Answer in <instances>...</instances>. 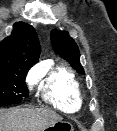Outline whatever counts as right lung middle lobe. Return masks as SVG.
<instances>
[{
    "label": "right lung middle lobe",
    "instance_id": "dd1d6c3e",
    "mask_svg": "<svg viewBox=\"0 0 117 131\" xmlns=\"http://www.w3.org/2000/svg\"><path fill=\"white\" fill-rule=\"evenodd\" d=\"M28 70L18 65L0 67V107L20 103L28 97L29 91L25 84Z\"/></svg>",
    "mask_w": 117,
    "mask_h": 131
}]
</instances>
